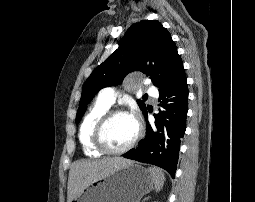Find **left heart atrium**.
<instances>
[{
    "instance_id": "left-heart-atrium-1",
    "label": "left heart atrium",
    "mask_w": 255,
    "mask_h": 202,
    "mask_svg": "<svg viewBox=\"0 0 255 202\" xmlns=\"http://www.w3.org/2000/svg\"><path fill=\"white\" fill-rule=\"evenodd\" d=\"M130 116L133 118V120H134L135 122L137 121L134 115H130Z\"/></svg>"
}]
</instances>
